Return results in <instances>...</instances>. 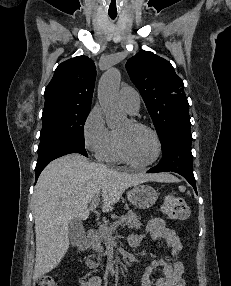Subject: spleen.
<instances>
[{"instance_id": "3e777b00", "label": "spleen", "mask_w": 231, "mask_h": 286, "mask_svg": "<svg viewBox=\"0 0 231 286\" xmlns=\"http://www.w3.org/2000/svg\"><path fill=\"white\" fill-rule=\"evenodd\" d=\"M186 190V188L184 186H179V191L184 192ZM188 194H190L189 192H187Z\"/></svg>"}]
</instances>
